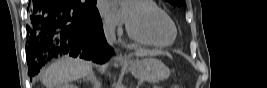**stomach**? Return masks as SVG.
Wrapping results in <instances>:
<instances>
[{"instance_id": "obj_1", "label": "stomach", "mask_w": 267, "mask_h": 88, "mask_svg": "<svg viewBox=\"0 0 267 88\" xmlns=\"http://www.w3.org/2000/svg\"><path fill=\"white\" fill-rule=\"evenodd\" d=\"M128 67L134 77L152 83L167 79L170 75L168 67L153 57L137 59L130 62Z\"/></svg>"}]
</instances>
